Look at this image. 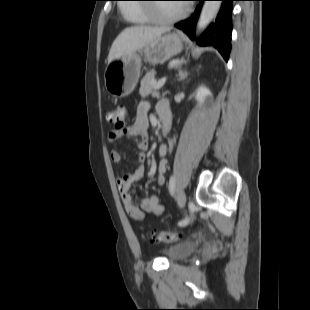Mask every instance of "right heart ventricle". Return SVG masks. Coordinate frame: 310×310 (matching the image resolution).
<instances>
[{
    "instance_id": "1",
    "label": "right heart ventricle",
    "mask_w": 310,
    "mask_h": 310,
    "mask_svg": "<svg viewBox=\"0 0 310 310\" xmlns=\"http://www.w3.org/2000/svg\"><path fill=\"white\" fill-rule=\"evenodd\" d=\"M123 16L132 24L143 25L151 21L145 8L135 5H122Z\"/></svg>"
}]
</instances>
